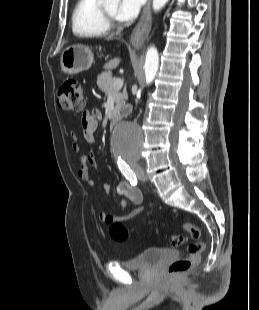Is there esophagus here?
Returning <instances> with one entry per match:
<instances>
[{
	"instance_id": "34e87169",
	"label": "esophagus",
	"mask_w": 259,
	"mask_h": 310,
	"mask_svg": "<svg viewBox=\"0 0 259 310\" xmlns=\"http://www.w3.org/2000/svg\"><path fill=\"white\" fill-rule=\"evenodd\" d=\"M150 28H151V0H148L144 7L141 18L131 34L130 38L131 44L136 48H140L144 44L145 39L148 37Z\"/></svg>"
}]
</instances>
